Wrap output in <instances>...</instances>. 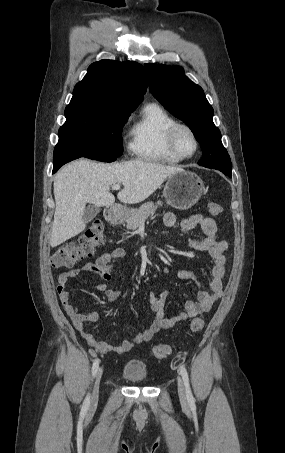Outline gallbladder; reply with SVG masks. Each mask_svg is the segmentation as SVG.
<instances>
[{
  "label": "gallbladder",
  "mask_w": 285,
  "mask_h": 453,
  "mask_svg": "<svg viewBox=\"0 0 285 453\" xmlns=\"http://www.w3.org/2000/svg\"><path fill=\"white\" fill-rule=\"evenodd\" d=\"M100 212V208L95 205H89L85 208L83 219L85 222H90Z\"/></svg>",
  "instance_id": "obj_1"
}]
</instances>
